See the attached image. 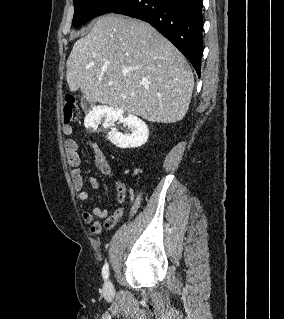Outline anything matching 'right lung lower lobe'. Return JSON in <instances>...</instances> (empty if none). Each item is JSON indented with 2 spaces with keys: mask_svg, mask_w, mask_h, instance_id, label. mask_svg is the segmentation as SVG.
<instances>
[{
  "mask_svg": "<svg viewBox=\"0 0 284 319\" xmlns=\"http://www.w3.org/2000/svg\"><path fill=\"white\" fill-rule=\"evenodd\" d=\"M112 13L151 24L185 55L200 76L202 0H129Z\"/></svg>",
  "mask_w": 284,
  "mask_h": 319,
  "instance_id": "right-lung-lower-lobe-1",
  "label": "right lung lower lobe"
}]
</instances>
